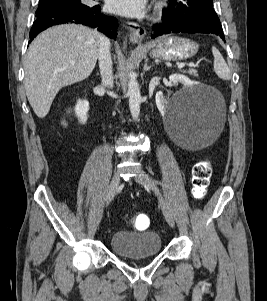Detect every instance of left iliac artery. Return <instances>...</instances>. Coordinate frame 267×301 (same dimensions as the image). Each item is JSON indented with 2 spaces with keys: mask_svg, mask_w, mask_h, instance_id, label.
Segmentation results:
<instances>
[{
  "mask_svg": "<svg viewBox=\"0 0 267 301\" xmlns=\"http://www.w3.org/2000/svg\"><path fill=\"white\" fill-rule=\"evenodd\" d=\"M158 184H161L160 182L156 181Z\"/></svg>",
  "mask_w": 267,
  "mask_h": 301,
  "instance_id": "44dca946",
  "label": "left iliac artery"
}]
</instances>
